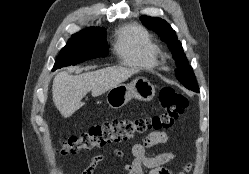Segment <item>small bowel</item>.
Here are the masks:
<instances>
[{"mask_svg": "<svg viewBox=\"0 0 249 174\" xmlns=\"http://www.w3.org/2000/svg\"><path fill=\"white\" fill-rule=\"evenodd\" d=\"M169 137L166 133H152L149 134L141 143H135L131 147V154L133 161L130 164L121 166V169L125 174H145V170H149V174H171V172L164 167L165 164L175 159L173 152H163L154 156H150L146 153V149L166 144ZM114 155L117 157H123V153L119 150L114 151ZM104 160V155L97 154L89 161L82 174H94L97 167ZM190 169V165H187L179 174H185ZM104 174H109L105 172Z\"/></svg>", "mask_w": 249, "mask_h": 174, "instance_id": "small-bowel-1", "label": "small bowel"}]
</instances>
